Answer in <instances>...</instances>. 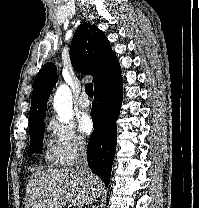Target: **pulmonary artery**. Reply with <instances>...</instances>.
<instances>
[{
	"mask_svg": "<svg viewBox=\"0 0 199 208\" xmlns=\"http://www.w3.org/2000/svg\"><path fill=\"white\" fill-rule=\"evenodd\" d=\"M78 105L80 108H89L91 106V102L86 93H82L78 99Z\"/></svg>",
	"mask_w": 199,
	"mask_h": 208,
	"instance_id": "1",
	"label": "pulmonary artery"
}]
</instances>
